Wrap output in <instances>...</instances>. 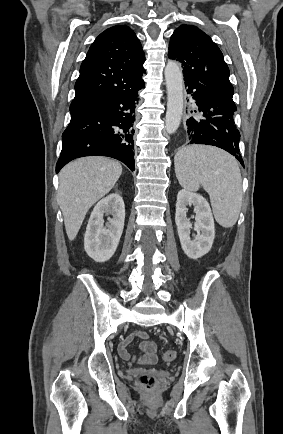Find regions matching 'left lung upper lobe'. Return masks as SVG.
I'll return each instance as SVG.
<instances>
[{"mask_svg":"<svg viewBox=\"0 0 283 434\" xmlns=\"http://www.w3.org/2000/svg\"><path fill=\"white\" fill-rule=\"evenodd\" d=\"M168 57L181 63L185 78L233 96L229 68L221 50L198 27L179 26L170 38Z\"/></svg>","mask_w":283,"mask_h":434,"instance_id":"1","label":"left lung upper lobe"}]
</instances>
